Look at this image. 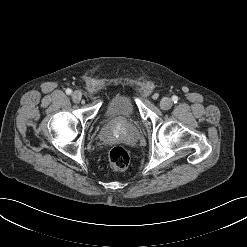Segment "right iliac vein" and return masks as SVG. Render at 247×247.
<instances>
[{
	"label": "right iliac vein",
	"instance_id": "1",
	"mask_svg": "<svg viewBox=\"0 0 247 247\" xmlns=\"http://www.w3.org/2000/svg\"><path fill=\"white\" fill-rule=\"evenodd\" d=\"M82 99V93L80 91H75L73 92L72 94V100L75 102V103H79Z\"/></svg>",
	"mask_w": 247,
	"mask_h": 247
}]
</instances>
